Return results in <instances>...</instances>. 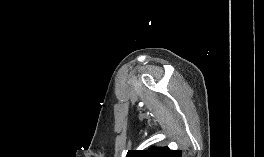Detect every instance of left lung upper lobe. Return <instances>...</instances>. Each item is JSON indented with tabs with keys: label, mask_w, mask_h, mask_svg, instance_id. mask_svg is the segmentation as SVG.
Segmentation results:
<instances>
[{
	"label": "left lung upper lobe",
	"mask_w": 264,
	"mask_h": 157,
	"mask_svg": "<svg viewBox=\"0 0 264 157\" xmlns=\"http://www.w3.org/2000/svg\"><path fill=\"white\" fill-rule=\"evenodd\" d=\"M126 157H182L180 150L168 147H153L144 150H129Z\"/></svg>",
	"instance_id": "5c2ea615"
}]
</instances>
